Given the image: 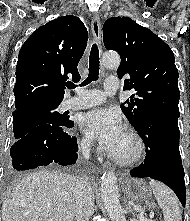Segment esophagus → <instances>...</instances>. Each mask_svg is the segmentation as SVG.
Segmentation results:
<instances>
[{"label":"esophagus","mask_w":190,"mask_h":221,"mask_svg":"<svg viewBox=\"0 0 190 221\" xmlns=\"http://www.w3.org/2000/svg\"><path fill=\"white\" fill-rule=\"evenodd\" d=\"M91 29H92V34L95 42L98 44V46H101L102 43V37H101V23H100V16L98 13H95L92 18V23H91ZM103 168L107 170H113L114 167L111 163L105 162L103 164Z\"/></svg>","instance_id":"esophagus-1"}]
</instances>
